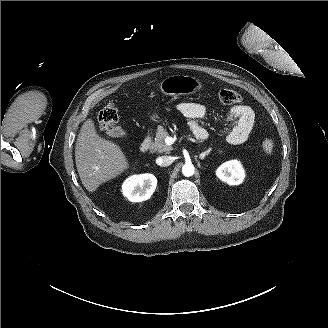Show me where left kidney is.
<instances>
[{
  "label": "left kidney",
  "mask_w": 328,
  "mask_h": 328,
  "mask_svg": "<svg viewBox=\"0 0 328 328\" xmlns=\"http://www.w3.org/2000/svg\"><path fill=\"white\" fill-rule=\"evenodd\" d=\"M216 175L229 185H239L245 177L244 171L237 161L224 163L217 169Z\"/></svg>",
  "instance_id": "left-kidney-1"
}]
</instances>
